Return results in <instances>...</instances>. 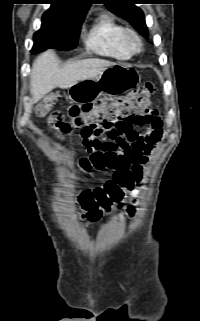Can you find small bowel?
<instances>
[{"mask_svg": "<svg viewBox=\"0 0 200 321\" xmlns=\"http://www.w3.org/2000/svg\"><path fill=\"white\" fill-rule=\"evenodd\" d=\"M144 131H140L141 129ZM163 135V122L158 112H150L132 116L110 127L96 126L82 133V144L92 155L99 154L113 164L124 162L132 166L137 179L141 177V168L148 160ZM140 191L134 190L135 197L121 218L134 217L139 202Z\"/></svg>", "mask_w": 200, "mask_h": 321, "instance_id": "1", "label": "small bowel"}]
</instances>
